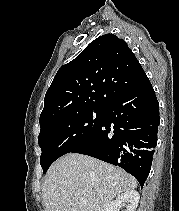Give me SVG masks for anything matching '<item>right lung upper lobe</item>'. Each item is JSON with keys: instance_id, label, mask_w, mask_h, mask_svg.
<instances>
[{"instance_id": "obj_1", "label": "right lung upper lobe", "mask_w": 179, "mask_h": 211, "mask_svg": "<svg viewBox=\"0 0 179 211\" xmlns=\"http://www.w3.org/2000/svg\"><path fill=\"white\" fill-rule=\"evenodd\" d=\"M144 76L123 39L114 34L100 36L58 70L45 95L40 127L69 114L106 108Z\"/></svg>"}]
</instances>
